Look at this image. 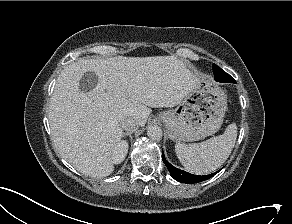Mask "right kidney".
I'll return each mask as SVG.
<instances>
[{"label":"right kidney","mask_w":292,"mask_h":224,"mask_svg":"<svg viewBox=\"0 0 292 224\" xmlns=\"http://www.w3.org/2000/svg\"><path fill=\"white\" fill-rule=\"evenodd\" d=\"M127 152H128L127 142L121 141L112 152V157H111L112 162L114 164L121 163L125 159Z\"/></svg>","instance_id":"obj_1"}]
</instances>
